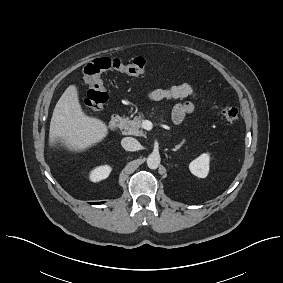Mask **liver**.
Instances as JSON below:
<instances>
[{
	"mask_svg": "<svg viewBox=\"0 0 283 283\" xmlns=\"http://www.w3.org/2000/svg\"><path fill=\"white\" fill-rule=\"evenodd\" d=\"M108 134L107 125L88 116L79 102L78 88L70 85L58 100L49 129V146L61 144L69 152H84Z\"/></svg>",
	"mask_w": 283,
	"mask_h": 283,
	"instance_id": "6515ba94",
	"label": "liver"
}]
</instances>
